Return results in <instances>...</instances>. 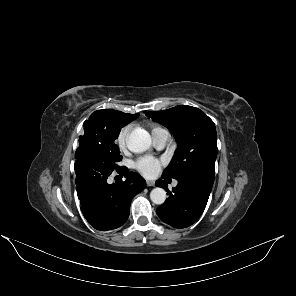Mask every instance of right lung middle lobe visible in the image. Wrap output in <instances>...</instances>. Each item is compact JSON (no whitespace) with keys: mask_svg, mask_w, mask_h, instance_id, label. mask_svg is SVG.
<instances>
[{"mask_svg":"<svg viewBox=\"0 0 296 296\" xmlns=\"http://www.w3.org/2000/svg\"><path fill=\"white\" fill-rule=\"evenodd\" d=\"M133 119L125 115H113L104 124H94L85 127L84 135L79 138V150L91 153L99 157L110 170H117L121 166L117 163L121 161L119 147L115 144L122 127Z\"/></svg>","mask_w":296,"mask_h":296,"instance_id":"right-lung-middle-lobe-1","label":"right lung middle lobe"}]
</instances>
